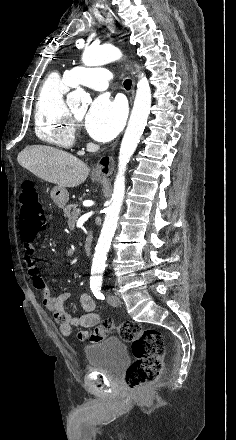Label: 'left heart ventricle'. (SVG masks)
<instances>
[{"instance_id": "obj_1", "label": "left heart ventricle", "mask_w": 236, "mask_h": 440, "mask_svg": "<svg viewBox=\"0 0 236 440\" xmlns=\"http://www.w3.org/2000/svg\"><path fill=\"white\" fill-rule=\"evenodd\" d=\"M73 114L76 116L77 119H79L81 121L84 117L85 110L78 109V110L73 111Z\"/></svg>"}]
</instances>
